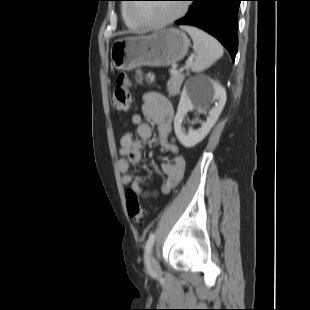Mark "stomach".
Masks as SVG:
<instances>
[{"mask_svg":"<svg viewBox=\"0 0 310 310\" xmlns=\"http://www.w3.org/2000/svg\"><path fill=\"white\" fill-rule=\"evenodd\" d=\"M190 46L188 36L175 28L155 32L148 36L125 37L115 40L110 57L120 71L137 67H167L186 55Z\"/></svg>","mask_w":310,"mask_h":310,"instance_id":"obj_1","label":"stomach"}]
</instances>
